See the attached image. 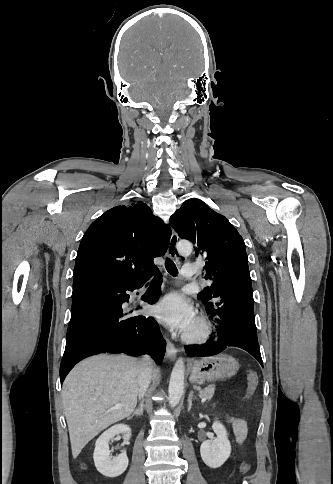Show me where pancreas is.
Segmentation results:
<instances>
[{
  "mask_svg": "<svg viewBox=\"0 0 333 484\" xmlns=\"http://www.w3.org/2000/svg\"><path fill=\"white\" fill-rule=\"evenodd\" d=\"M215 385L210 384L204 389H199L200 396L206 400H211L214 395Z\"/></svg>",
  "mask_w": 333,
  "mask_h": 484,
  "instance_id": "pancreas-1",
  "label": "pancreas"
}]
</instances>
